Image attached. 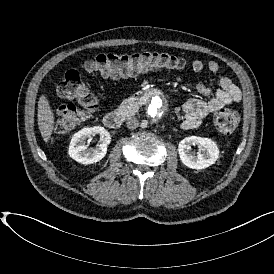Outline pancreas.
<instances>
[{
    "label": "pancreas",
    "mask_w": 274,
    "mask_h": 274,
    "mask_svg": "<svg viewBox=\"0 0 274 274\" xmlns=\"http://www.w3.org/2000/svg\"><path fill=\"white\" fill-rule=\"evenodd\" d=\"M139 108L140 105L134 96L122 101L120 106V110L123 111L126 115H135L139 111Z\"/></svg>",
    "instance_id": "pancreas-1"
}]
</instances>
